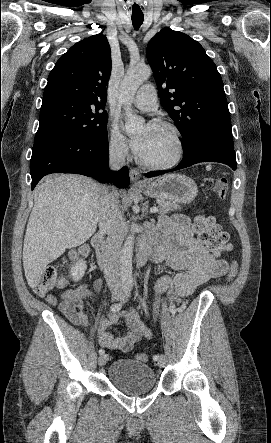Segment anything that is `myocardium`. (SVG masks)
Here are the masks:
<instances>
[{"label": "myocardium", "mask_w": 271, "mask_h": 443, "mask_svg": "<svg viewBox=\"0 0 271 443\" xmlns=\"http://www.w3.org/2000/svg\"><path fill=\"white\" fill-rule=\"evenodd\" d=\"M152 125L167 128L173 133L176 142V153L173 158L164 162H153L143 158L142 156H139L141 164L144 167L154 170H164L176 166L181 162L185 153V145L181 131L173 123L164 120H155L152 122Z\"/></svg>", "instance_id": "myocardium-1"}]
</instances>
